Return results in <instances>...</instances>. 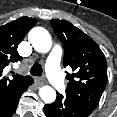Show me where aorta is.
<instances>
[{
    "label": "aorta",
    "mask_w": 117,
    "mask_h": 117,
    "mask_svg": "<svg viewBox=\"0 0 117 117\" xmlns=\"http://www.w3.org/2000/svg\"><path fill=\"white\" fill-rule=\"evenodd\" d=\"M28 39L35 50L46 53L52 46L49 32L42 27L32 28L28 34ZM39 96L45 103H52L56 99V91L48 85L39 89Z\"/></svg>",
    "instance_id": "aorta-1"
}]
</instances>
